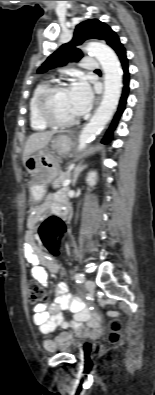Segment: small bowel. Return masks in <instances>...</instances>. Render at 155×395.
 <instances>
[{
    "label": "small bowel",
    "instance_id": "c3829d8e",
    "mask_svg": "<svg viewBox=\"0 0 155 395\" xmlns=\"http://www.w3.org/2000/svg\"><path fill=\"white\" fill-rule=\"evenodd\" d=\"M66 209L63 191L50 194L45 202L36 208L30 216V224L34 225L50 214L59 215ZM24 256L31 266L32 278L42 286L48 285L49 272L57 273L59 266L50 255L40 251L33 243L32 237L27 238L24 246ZM70 310L74 318L68 320L63 311ZM33 323L39 328L42 344L46 350H54L61 344L77 338L97 335L101 330V318L77 296L68 293V286L61 282L56 287V299L47 306L45 303L37 304L33 309ZM61 327L62 332L55 338L51 333Z\"/></svg>",
    "mask_w": 155,
    "mask_h": 395
}]
</instances>
